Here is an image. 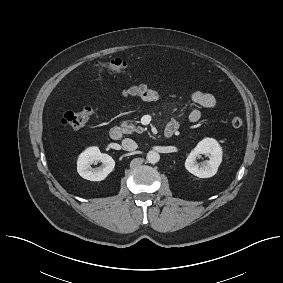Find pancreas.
Returning a JSON list of instances; mask_svg holds the SVG:
<instances>
[{"label":"pancreas","mask_w":283,"mask_h":283,"mask_svg":"<svg viewBox=\"0 0 283 283\" xmlns=\"http://www.w3.org/2000/svg\"><path fill=\"white\" fill-rule=\"evenodd\" d=\"M121 127L124 134L143 133L145 131L142 127H136L131 121H123Z\"/></svg>","instance_id":"1"}]
</instances>
